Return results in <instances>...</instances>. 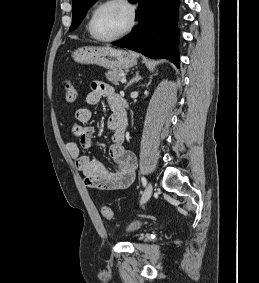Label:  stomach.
Instances as JSON below:
<instances>
[{
	"label": "stomach",
	"instance_id": "0dacf381",
	"mask_svg": "<svg viewBox=\"0 0 259 283\" xmlns=\"http://www.w3.org/2000/svg\"><path fill=\"white\" fill-rule=\"evenodd\" d=\"M73 58L78 63L95 64L110 70L128 69L137 62L131 52L109 46L81 47L74 52Z\"/></svg>",
	"mask_w": 259,
	"mask_h": 283
}]
</instances>
